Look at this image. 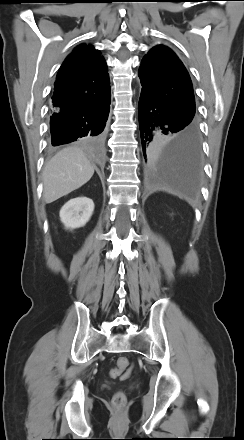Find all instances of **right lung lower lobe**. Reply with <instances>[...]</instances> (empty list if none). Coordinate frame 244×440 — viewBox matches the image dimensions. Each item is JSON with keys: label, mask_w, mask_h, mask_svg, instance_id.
Returning a JSON list of instances; mask_svg holds the SVG:
<instances>
[{"label": "right lung lower lobe", "mask_w": 244, "mask_h": 440, "mask_svg": "<svg viewBox=\"0 0 244 440\" xmlns=\"http://www.w3.org/2000/svg\"><path fill=\"white\" fill-rule=\"evenodd\" d=\"M111 94L86 106L65 111H52L50 118L51 144L53 146L101 137L110 110Z\"/></svg>", "instance_id": "right-lung-lower-lobe-1"}]
</instances>
